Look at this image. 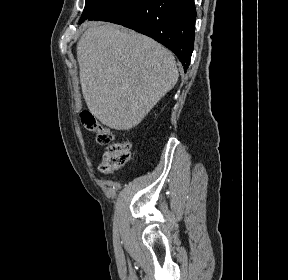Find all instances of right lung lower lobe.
Segmentation results:
<instances>
[{
    "label": "right lung lower lobe",
    "instance_id": "98d812e1",
    "mask_svg": "<svg viewBox=\"0 0 288 280\" xmlns=\"http://www.w3.org/2000/svg\"><path fill=\"white\" fill-rule=\"evenodd\" d=\"M195 18L194 0H113L87 19L121 24L152 37L172 50L187 70Z\"/></svg>",
    "mask_w": 288,
    "mask_h": 280
}]
</instances>
